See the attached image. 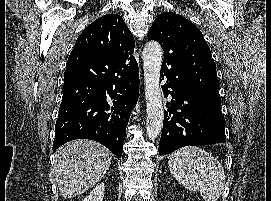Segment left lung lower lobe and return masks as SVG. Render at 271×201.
Here are the masks:
<instances>
[{"label": "left lung lower lobe", "instance_id": "1", "mask_svg": "<svg viewBox=\"0 0 271 201\" xmlns=\"http://www.w3.org/2000/svg\"><path fill=\"white\" fill-rule=\"evenodd\" d=\"M176 57L163 60L160 80L167 103L159 154L165 155L187 145H209L225 142V128L203 96L190 86L179 68ZM170 89V90H168Z\"/></svg>", "mask_w": 271, "mask_h": 201}]
</instances>
